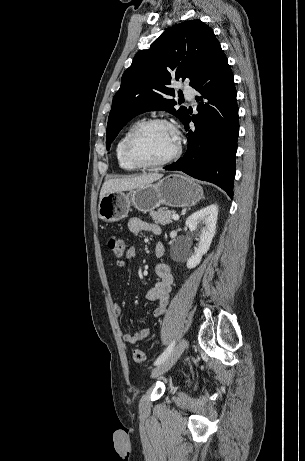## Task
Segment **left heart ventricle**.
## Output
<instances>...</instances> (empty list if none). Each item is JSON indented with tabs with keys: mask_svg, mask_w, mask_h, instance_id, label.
Instances as JSON below:
<instances>
[{
	"mask_svg": "<svg viewBox=\"0 0 305 461\" xmlns=\"http://www.w3.org/2000/svg\"><path fill=\"white\" fill-rule=\"evenodd\" d=\"M176 148L174 133L162 125L145 128L134 143V154L145 162H157L170 156Z\"/></svg>",
	"mask_w": 305,
	"mask_h": 461,
	"instance_id": "obj_1",
	"label": "left heart ventricle"
}]
</instances>
